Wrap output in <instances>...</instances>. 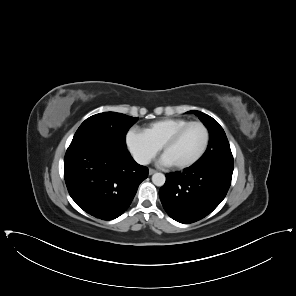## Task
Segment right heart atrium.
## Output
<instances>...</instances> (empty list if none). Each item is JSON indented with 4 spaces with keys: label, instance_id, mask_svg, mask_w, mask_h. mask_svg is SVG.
Masks as SVG:
<instances>
[{
    "label": "right heart atrium",
    "instance_id": "1",
    "mask_svg": "<svg viewBox=\"0 0 296 296\" xmlns=\"http://www.w3.org/2000/svg\"><path fill=\"white\" fill-rule=\"evenodd\" d=\"M126 145L135 159L142 164L149 163L160 149L144 132L136 127L128 131Z\"/></svg>",
    "mask_w": 296,
    "mask_h": 296
}]
</instances>
